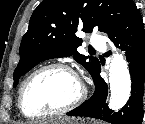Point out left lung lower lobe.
<instances>
[{
  "label": "left lung lower lobe",
  "mask_w": 145,
  "mask_h": 124,
  "mask_svg": "<svg viewBox=\"0 0 145 124\" xmlns=\"http://www.w3.org/2000/svg\"><path fill=\"white\" fill-rule=\"evenodd\" d=\"M110 39L126 53L131 75V96L126 105L113 113L105 104L108 86L100 76L99 66L95 77V92L84 104L68 112V116H85L111 124H141L143 118V84L145 80V32L142 17L133 5Z\"/></svg>",
  "instance_id": "0a47b994"
}]
</instances>
